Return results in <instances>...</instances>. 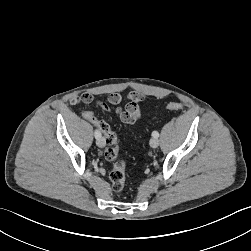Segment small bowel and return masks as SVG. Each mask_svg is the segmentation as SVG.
<instances>
[{
    "label": "small bowel",
    "instance_id": "obj_1",
    "mask_svg": "<svg viewBox=\"0 0 251 251\" xmlns=\"http://www.w3.org/2000/svg\"><path fill=\"white\" fill-rule=\"evenodd\" d=\"M127 103L121 107L119 106L122 101V95L114 92L108 96L107 102L98 101L97 106L103 111L112 112L111 106H116L114 113L119 119L125 124H135L140 121L143 117L140 109V103L144 101V96L138 91H131L127 94ZM93 100V96L89 93H83L79 97L72 99V104L77 105L78 103H90Z\"/></svg>",
    "mask_w": 251,
    "mask_h": 251
}]
</instances>
